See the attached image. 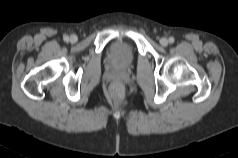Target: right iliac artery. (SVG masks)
Here are the masks:
<instances>
[{
    "label": "right iliac artery",
    "mask_w": 238,
    "mask_h": 158,
    "mask_svg": "<svg viewBox=\"0 0 238 158\" xmlns=\"http://www.w3.org/2000/svg\"><path fill=\"white\" fill-rule=\"evenodd\" d=\"M63 39H64V41H68L69 37L68 36H64Z\"/></svg>",
    "instance_id": "1"
}]
</instances>
